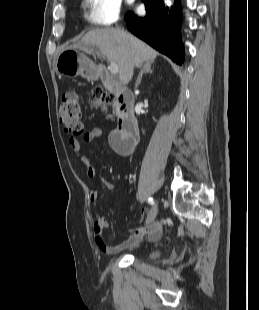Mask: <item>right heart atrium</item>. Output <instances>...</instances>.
I'll list each match as a JSON object with an SVG mask.
<instances>
[{"instance_id":"obj_1","label":"right heart atrium","mask_w":259,"mask_h":310,"mask_svg":"<svg viewBox=\"0 0 259 310\" xmlns=\"http://www.w3.org/2000/svg\"><path fill=\"white\" fill-rule=\"evenodd\" d=\"M86 19L95 26H110L121 14V0H84Z\"/></svg>"}]
</instances>
